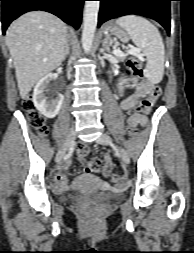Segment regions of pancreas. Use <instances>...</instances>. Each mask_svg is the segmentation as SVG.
Here are the masks:
<instances>
[{
	"label": "pancreas",
	"mask_w": 194,
	"mask_h": 253,
	"mask_svg": "<svg viewBox=\"0 0 194 253\" xmlns=\"http://www.w3.org/2000/svg\"><path fill=\"white\" fill-rule=\"evenodd\" d=\"M126 57V54H124L123 56H116V58L120 61H123Z\"/></svg>",
	"instance_id": "obj_1"
}]
</instances>
